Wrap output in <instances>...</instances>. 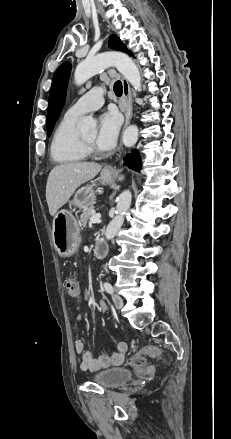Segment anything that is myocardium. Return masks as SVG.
I'll return each instance as SVG.
<instances>
[{
    "label": "myocardium",
    "instance_id": "f54148a6",
    "mask_svg": "<svg viewBox=\"0 0 231 439\" xmlns=\"http://www.w3.org/2000/svg\"><path fill=\"white\" fill-rule=\"evenodd\" d=\"M81 142H82V145L84 146L85 150L87 151V153H94L95 152L94 147L91 143L85 141L83 138H81Z\"/></svg>",
    "mask_w": 231,
    "mask_h": 439
}]
</instances>
